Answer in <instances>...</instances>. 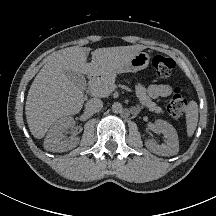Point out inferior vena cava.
I'll list each match as a JSON object with an SVG mask.
<instances>
[{
	"label": "inferior vena cava",
	"mask_w": 216,
	"mask_h": 216,
	"mask_svg": "<svg viewBox=\"0 0 216 216\" xmlns=\"http://www.w3.org/2000/svg\"><path fill=\"white\" fill-rule=\"evenodd\" d=\"M85 107L89 113H97L102 109L103 102L98 98H92L87 101Z\"/></svg>",
	"instance_id": "obj_1"
}]
</instances>
